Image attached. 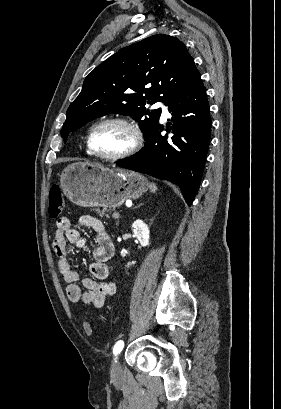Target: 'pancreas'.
<instances>
[{"label": "pancreas", "instance_id": "1", "mask_svg": "<svg viewBox=\"0 0 281 409\" xmlns=\"http://www.w3.org/2000/svg\"><path fill=\"white\" fill-rule=\"evenodd\" d=\"M105 213H106V209H103V211H101V213H99V215H101V217H103V215H105ZM106 217H108V215H106ZM108 219H109V217H108Z\"/></svg>", "mask_w": 281, "mask_h": 409}]
</instances>
